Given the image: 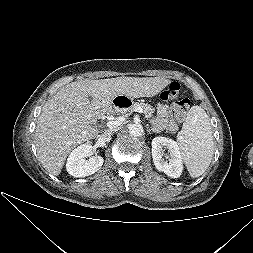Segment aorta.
Segmentation results:
<instances>
[{"label": "aorta", "mask_w": 253, "mask_h": 253, "mask_svg": "<svg viewBox=\"0 0 253 253\" xmlns=\"http://www.w3.org/2000/svg\"><path fill=\"white\" fill-rule=\"evenodd\" d=\"M129 134L133 137H140L143 134V126L138 123L130 124L129 127Z\"/></svg>", "instance_id": "aorta-1"}]
</instances>
